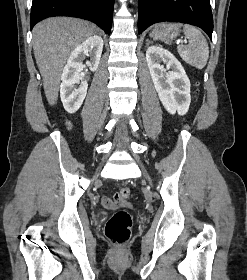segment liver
Masks as SVG:
<instances>
[{"instance_id":"1","label":"liver","mask_w":247,"mask_h":280,"mask_svg":"<svg viewBox=\"0 0 247 280\" xmlns=\"http://www.w3.org/2000/svg\"><path fill=\"white\" fill-rule=\"evenodd\" d=\"M96 33L95 26L71 17L48 18L33 29V50L50 105L58 98L63 67L70 53Z\"/></svg>"}]
</instances>
